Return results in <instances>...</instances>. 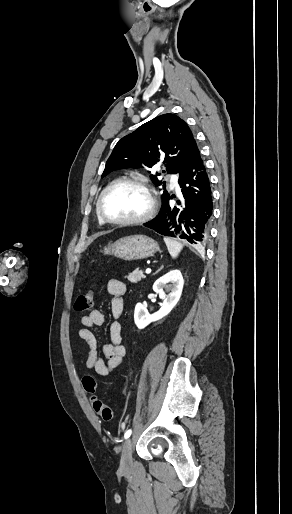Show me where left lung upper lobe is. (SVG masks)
Segmentation results:
<instances>
[{
  "mask_svg": "<svg viewBox=\"0 0 292 514\" xmlns=\"http://www.w3.org/2000/svg\"><path fill=\"white\" fill-rule=\"evenodd\" d=\"M193 133L187 123L174 114L160 115L126 135L118 141L108 158L102 177L118 169L135 168L149 169L163 164L168 174L183 171L194 142ZM150 173V171H148ZM156 175H150L154 185L160 186ZM165 190L162 197L165 196Z\"/></svg>",
  "mask_w": 292,
  "mask_h": 514,
  "instance_id": "obj_1",
  "label": "left lung upper lobe"
}]
</instances>
